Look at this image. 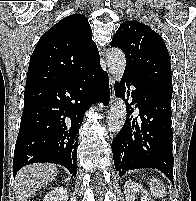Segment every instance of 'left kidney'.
I'll return each mask as SVG.
<instances>
[{"label": "left kidney", "instance_id": "obj_1", "mask_svg": "<svg viewBox=\"0 0 196 201\" xmlns=\"http://www.w3.org/2000/svg\"><path fill=\"white\" fill-rule=\"evenodd\" d=\"M126 201H134L135 194H141V201H154L147 191L137 182L127 180L124 185Z\"/></svg>", "mask_w": 196, "mask_h": 201}]
</instances>
